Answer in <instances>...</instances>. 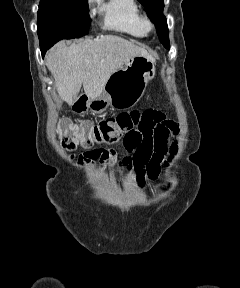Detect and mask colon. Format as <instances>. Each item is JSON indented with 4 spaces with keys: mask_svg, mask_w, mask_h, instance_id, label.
<instances>
[{
    "mask_svg": "<svg viewBox=\"0 0 240 288\" xmlns=\"http://www.w3.org/2000/svg\"><path fill=\"white\" fill-rule=\"evenodd\" d=\"M141 113L133 110L101 120L97 123L84 121L76 124L61 120L57 126L60 142L67 150L91 146L101 142H115L135 131L141 123Z\"/></svg>",
    "mask_w": 240,
    "mask_h": 288,
    "instance_id": "5ec220e1",
    "label": "colon"
}]
</instances>
